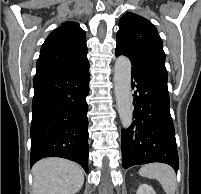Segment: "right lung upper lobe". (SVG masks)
I'll return each mask as SVG.
<instances>
[{"label":"right lung upper lobe","mask_w":201,"mask_h":194,"mask_svg":"<svg viewBox=\"0 0 201 194\" xmlns=\"http://www.w3.org/2000/svg\"><path fill=\"white\" fill-rule=\"evenodd\" d=\"M85 37L78 23H62L42 45L36 74L72 73L89 66Z\"/></svg>","instance_id":"obj_1"}]
</instances>
